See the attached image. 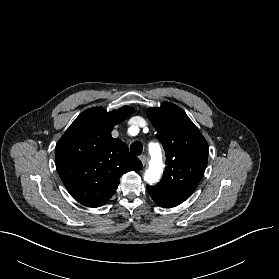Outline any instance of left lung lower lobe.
I'll use <instances>...</instances> for the list:
<instances>
[{
    "label": "left lung lower lobe",
    "instance_id": "left-lung-lower-lobe-1",
    "mask_svg": "<svg viewBox=\"0 0 279 279\" xmlns=\"http://www.w3.org/2000/svg\"><path fill=\"white\" fill-rule=\"evenodd\" d=\"M160 207H163V208H171V207H175L177 205H171V204H158Z\"/></svg>",
    "mask_w": 279,
    "mask_h": 279
}]
</instances>
